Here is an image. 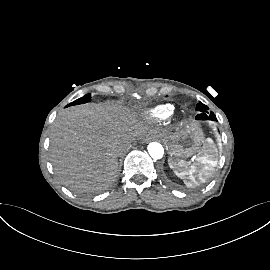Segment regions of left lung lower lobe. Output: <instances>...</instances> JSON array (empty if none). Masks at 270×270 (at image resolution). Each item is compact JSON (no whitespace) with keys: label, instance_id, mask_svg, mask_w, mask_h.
Wrapping results in <instances>:
<instances>
[{"label":"left lung lower lobe","instance_id":"1","mask_svg":"<svg viewBox=\"0 0 270 270\" xmlns=\"http://www.w3.org/2000/svg\"><path fill=\"white\" fill-rule=\"evenodd\" d=\"M200 120H212V121H217V118L214 114H210V115H207V114H201V117H200Z\"/></svg>","mask_w":270,"mask_h":270}]
</instances>
